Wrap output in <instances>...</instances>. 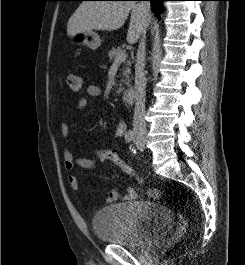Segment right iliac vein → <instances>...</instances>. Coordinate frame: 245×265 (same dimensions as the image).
Listing matches in <instances>:
<instances>
[{
    "instance_id": "right-iliac-vein-1",
    "label": "right iliac vein",
    "mask_w": 245,
    "mask_h": 265,
    "mask_svg": "<svg viewBox=\"0 0 245 265\" xmlns=\"http://www.w3.org/2000/svg\"><path fill=\"white\" fill-rule=\"evenodd\" d=\"M136 144L139 146V147H144L145 146V140L144 139H138Z\"/></svg>"
}]
</instances>
